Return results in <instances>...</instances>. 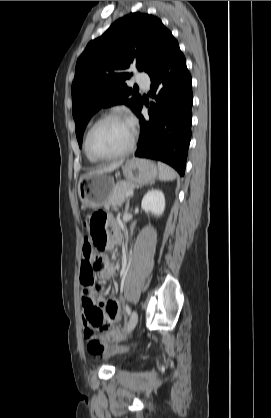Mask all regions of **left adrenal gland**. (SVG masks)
Returning <instances> with one entry per match:
<instances>
[{
  "mask_svg": "<svg viewBox=\"0 0 271 418\" xmlns=\"http://www.w3.org/2000/svg\"><path fill=\"white\" fill-rule=\"evenodd\" d=\"M129 203H130V199H128L127 203H126V207H125V212H128L129 209Z\"/></svg>",
  "mask_w": 271,
  "mask_h": 418,
  "instance_id": "left-adrenal-gland-1",
  "label": "left adrenal gland"
}]
</instances>
